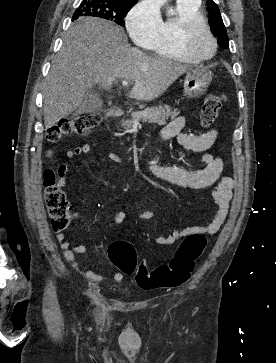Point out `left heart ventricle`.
<instances>
[{
	"mask_svg": "<svg viewBox=\"0 0 276 363\" xmlns=\"http://www.w3.org/2000/svg\"><path fill=\"white\" fill-rule=\"evenodd\" d=\"M190 47L198 55L206 56L212 51V42L203 29H198L190 38Z\"/></svg>",
	"mask_w": 276,
	"mask_h": 363,
	"instance_id": "left-heart-ventricle-1",
	"label": "left heart ventricle"
}]
</instances>
